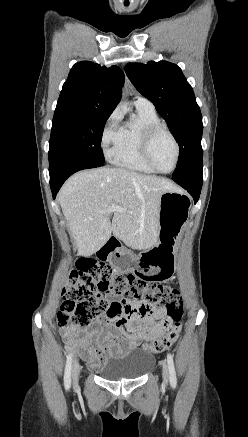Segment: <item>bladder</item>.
<instances>
[{"instance_id":"obj_1","label":"bladder","mask_w":248,"mask_h":437,"mask_svg":"<svg viewBox=\"0 0 248 437\" xmlns=\"http://www.w3.org/2000/svg\"><path fill=\"white\" fill-rule=\"evenodd\" d=\"M153 363L154 357L150 353L133 350L111 360L101 371V376L109 381L134 380L145 375Z\"/></svg>"}]
</instances>
